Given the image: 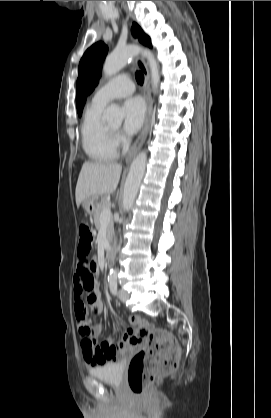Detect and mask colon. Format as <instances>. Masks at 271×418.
<instances>
[{"label":"colon","mask_w":271,"mask_h":418,"mask_svg":"<svg viewBox=\"0 0 271 418\" xmlns=\"http://www.w3.org/2000/svg\"><path fill=\"white\" fill-rule=\"evenodd\" d=\"M94 235L87 222L79 224L78 256H89ZM85 314V313H80ZM130 321L141 326L139 335L147 337L146 349L136 353L128 366V384L131 391L141 396L157 378L173 372L179 362L180 349L175 338L162 329H150L144 321L132 316Z\"/></svg>","instance_id":"colon-1"}]
</instances>
